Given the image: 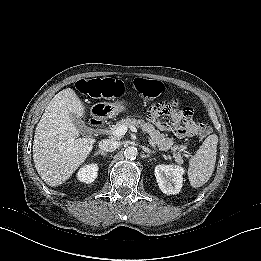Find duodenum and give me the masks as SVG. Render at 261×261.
<instances>
[{"mask_svg": "<svg viewBox=\"0 0 261 261\" xmlns=\"http://www.w3.org/2000/svg\"><path fill=\"white\" fill-rule=\"evenodd\" d=\"M108 113L101 109H95L92 111L90 118V125L94 128L102 127L104 121L107 119Z\"/></svg>", "mask_w": 261, "mask_h": 261, "instance_id": "410a0bca", "label": "duodenum"}]
</instances>
